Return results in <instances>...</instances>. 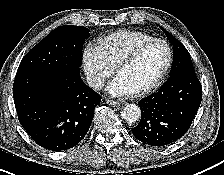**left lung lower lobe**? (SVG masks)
Wrapping results in <instances>:
<instances>
[{
  "mask_svg": "<svg viewBox=\"0 0 224 175\" xmlns=\"http://www.w3.org/2000/svg\"><path fill=\"white\" fill-rule=\"evenodd\" d=\"M201 99V83L193 68L171 73L158 92L138 102L142 114L133 135L151 146L175 142L190 128Z\"/></svg>",
  "mask_w": 224,
  "mask_h": 175,
  "instance_id": "0a47b994",
  "label": "left lung lower lobe"
}]
</instances>
